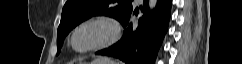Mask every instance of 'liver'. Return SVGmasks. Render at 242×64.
Here are the masks:
<instances>
[{
  "instance_id": "liver-1",
  "label": "liver",
  "mask_w": 242,
  "mask_h": 64,
  "mask_svg": "<svg viewBox=\"0 0 242 64\" xmlns=\"http://www.w3.org/2000/svg\"><path fill=\"white\" fill-rule=\"evenodd\" d=\"M106 62H109V63H112V64H115L113 61L109 60V59H105Z\"/></svg>"
}]
</instances>
